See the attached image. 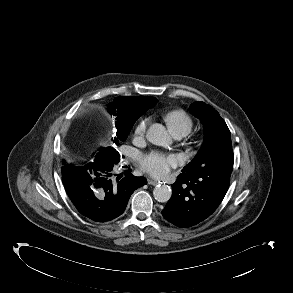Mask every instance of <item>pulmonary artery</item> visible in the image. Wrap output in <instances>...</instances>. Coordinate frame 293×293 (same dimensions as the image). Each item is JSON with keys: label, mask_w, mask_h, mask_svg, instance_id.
I'll use <instances>...</instances> for the list:
<instances>
[{"label": "pulmonary artery", "mask_w": 293, "mask_h": 293, "mask_svg": "<svg viewBox=\"0 0 293 293\" xmlns=\"http://www.w3.org/2000/svg\"><path fill=\"white\" fill-rule=\"evenodd\" d=\"M176 139H181L182 137H184L183 135H180V134H176L174 135Z\"/></svg>", "instance_id": "obj_1"}]
</instances>
